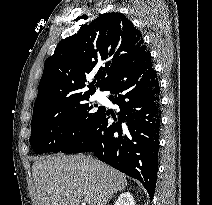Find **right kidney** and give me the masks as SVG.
Returning a JSON list of instances; mask_svg holds the SVG:
<instances>
[{
  "label": "right kidney",
  "mask_w": 212,
  "mask_h": 205,
  "mask_svg": "<svg viewBox=\"0 0 212 205\" xmlns=\"http://www.w3.org/2000/svg\"><path fill=\"white\" fill-rule=\"evenodd\" d=\"M114 205H135V201L130 192H125L119 196Z\"/></svg>",
  "instance_id": "right-kidney-1"
}]
</instances>
